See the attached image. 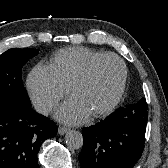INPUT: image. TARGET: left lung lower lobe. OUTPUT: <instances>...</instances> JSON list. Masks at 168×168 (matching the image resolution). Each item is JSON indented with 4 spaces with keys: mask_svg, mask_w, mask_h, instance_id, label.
Wrapping results in <instances>:
<instances>
[{
    "mask_svg": "<svg viewBox=\"0 0 168 168\" xmlns=\"http://www.w3.org/2000/svg\"><path fill=\"white\" fill-rule=\"evenodd\" d=\"M146 102L119 108L105 120L84 128L79 155L82 168H133L144 150Z\"/></svg>",
    "mask_w": 168,
    "mask_h": 168,
    "instance_id": "0a47b994",
    "label": "left lung lower lobe"
}]
</instances>
